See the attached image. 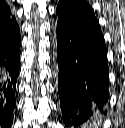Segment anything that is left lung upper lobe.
Instances as JSON below:
<instances>
[{"instance_id":"left-lung-upper-lobe-1","label":"left lung upper lobe","mask_w":125,"mask_h":128,"mask_svg":"<svg viewBox=\"0 0 125 128\" xmlns=\"http://www.w3.org/2000/svg\"><path fill=\"white\" fill-rule=\"evenodd\" d=\"M56 12L58 14V22L101 33V28L93 9L83 0H59Z\"/></svg>"}]
</instances>
